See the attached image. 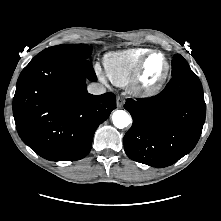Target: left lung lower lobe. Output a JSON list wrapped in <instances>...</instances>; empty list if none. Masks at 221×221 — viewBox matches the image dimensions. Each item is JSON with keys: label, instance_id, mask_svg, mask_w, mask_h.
<instances>
[{"label": "left lung lower lobe", "instance_id": "obj_1", "mask_svg": "<svg viewBox=\"0 0 221 221\" xmlns=\"http://www.w3.org/2000/svg\"><path fill=\"white\" fill-rule=\"evenodd\" d=\"M133 125L124 136L129 158L153 167H166L197 144L205 122L206 105L199 78L191 70L169 81L156 96L127 99Z\"/></svg>", "mask_w": 221, "mask_h": 221}]
</instances>
